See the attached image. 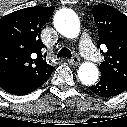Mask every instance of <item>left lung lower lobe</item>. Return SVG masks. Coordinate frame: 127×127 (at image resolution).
Masks as SVG:
<instances>
[{"label":"left lung lower lobe","mask_w":127,"mask_h":127,"mask_svg":"<svg viewBox=\"0 0 127 127\" xmlns=\"http://www.w3.org/2000/svg\"><path fill=\"white\" fill-rule=\"evenodd\" d=\"M127 89V83L115 77L101 73L100 81L90 87L95 94L103 97H111L124 92Z\"/></svg>","instance_id":"obj_1"}]
</instances>
